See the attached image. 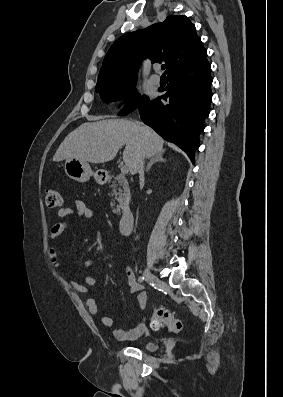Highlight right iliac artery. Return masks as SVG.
I'll use <instances>...</instances> for the list:
<instances>
[{"instance_id": "obj_1", "label": "right iliac artery", "mask_w": 283, "mask_h": 397, "mask_svg": "<svg viewBox=\"0 0 283 397\" xmlns=\"http://www.w3.org/2000/svg\"><path fill=\"white\" fill-rule=\"evenodd\" d=\"M138 281H139V282H143V281H144V276H140V277L138 278Z\"/></svg>"}]
</instances>
